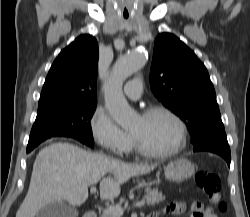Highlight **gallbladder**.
I'll list each match as a JSON object with an SVG mask.
<instances>
[{
	"label": "gallbladder",
	"instance_id": "obj_1",
	"mask_svg": "<svg viewBox=\"0 0 250 217\" xmlns=\"http://www.w3.org/2000/svg\"><path fill=\"white\" fill-rule=\"evenodd\" d=\"M78 211L63 202H53L44 206L36 217H77Z\"/></svg>",
	"mask_w": 250,
	"mask_h": 217
}]
</instances>
